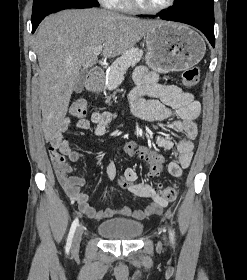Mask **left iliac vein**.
Returning a JSON list of instances; mask_svg holds the SVG:
<instances>
[{"instance_id":"1","label":"left iliac vein","mask_w":247,"mask_h":280,"mask_svg":"<svg viewBox=\"0 0 247 280\" xmlns=\"http://www.w3.org/2000/svg\"><path fill=\"white\" fill-rule=\"evenodd\" d=\"M163 239L167 243V237L165 235L163 236Z\"/></svg>"}]
</instances>
